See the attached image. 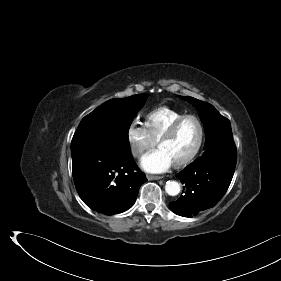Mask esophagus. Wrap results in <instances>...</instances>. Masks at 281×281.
<instances>
[{
  "label": "esophagus",
  "mask_w": 281,
  "mask_h": 281,
  "mask_svg": "<svg viewBox=\"0 0 281 281\" xmlns=\"http://www.w3.org/2000/svg\"><path fill=\"white\" fill-rule=\"evenodd\" d=\"M148 180H159L162 179V176H154V175H147Z\"/></svg>",
  "instance_id": "1"
}]
</instances>
